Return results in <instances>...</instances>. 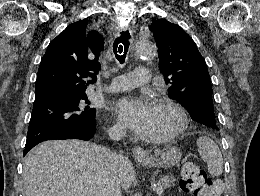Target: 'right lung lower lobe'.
<instances>
[{"label":"right lung lower lobe","mask_w":260,"mask_h":196,"mask_svg":"<svg viewBox=\"0 0 260 196\" xmlns=\"http://www.w3.org/2000/svg\"><path fill=\"white\" fill-rule=\"evenodd\" d=\"M96 131V123L89 125L87 127L72 131V132H68V133H64L58 136H55L53 138L47 139V140H55V139H59V140H64V139H81V140H89L91 139ZM46 141V140H45ZM40 143V142H38ZM36 144L30 145V146H25V150L23 153V156L26 155V153L32 149Z\"/></svg>","instance_id":"1"}]
</instances>
